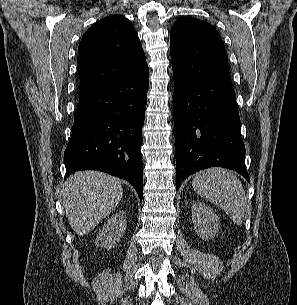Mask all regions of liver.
Masks as SVG:
<instances>
[{
    "mask_svg": "<svg viewBox=\"0 0 297 305\" xmlns=\"http://www.w3.org/2000/svg\"><path fill=\"white\" fill-rule=\"evenodd\" d=\"M62 204L72 229L88 234L118 206L123 188L120 180L98 171H80L68 177Z\"/></svg>",
    "mask_w": 297,
    "mask_h": 305,
    "instance_id": "6515ba94",
    "label": "liver"
}]
</instances>
